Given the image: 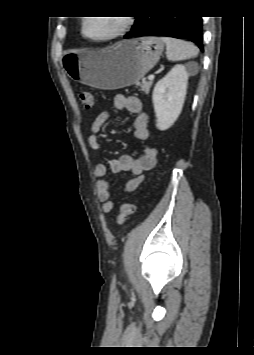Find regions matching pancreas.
Returning <instances> with one entry per match:
<instances>
[{
	"label": "pancreas",
	"mask_w": 254,
	"mask_h": 355,
	"mask_svg": "<svg viewBox=\"0 0 254 355\" xmlns=\"http://www.w3.org/2000/svg\"><path fill=\"white\" fill-rule=\"evenodd\" d=\"M153 84V81H144L141 84H138V86L140 87L142 93L144 94H148L150 92V88Z\"/></svg>",
	"instance_id": "cf45deb5"
}]
</instances>
